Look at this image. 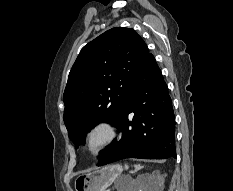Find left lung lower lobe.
<instances>
[{
  "label": "left lung lower lobe",
  "instance_id": "1",
  "mask_svg": "<svg viewBox=\"0 0 233 191\" xmlns=\"http://www.w3.org/2000/svg\"><path fill=\"white\" fill-rule=\"evenodd\" d=\"M117 127L122 136L109 146L98 166L125 158H176L171 98L152 54L131 85Z\"/></svg>",
  "mask_w": 233,
  "mask_h": 191
}]
</instances>
